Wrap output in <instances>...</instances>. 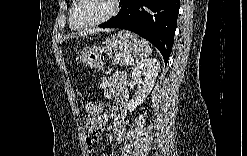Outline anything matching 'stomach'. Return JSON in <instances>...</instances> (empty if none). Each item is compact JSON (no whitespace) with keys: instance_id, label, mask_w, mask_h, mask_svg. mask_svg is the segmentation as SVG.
Wrapping results in <instances>:
<instances>
[{"instance_id":"obj_1","label":"stomach","mask_w":247,"mask_h":156,"mask_svg":"<svg viewBox=\"0 0 247 156\" xmlns=\"http://www.w3.org/2000/svg\"><path fill=\"white\" fill-rule=\"evenodd\" d=\"M119 50L121 53L135 56L142 52L141 42L138 36L129 31H119L103 41L102 49L97 47H85L81 52L82 62L90 68H99L103 65L102 52Z\"/></svg>"}]
</instances>
